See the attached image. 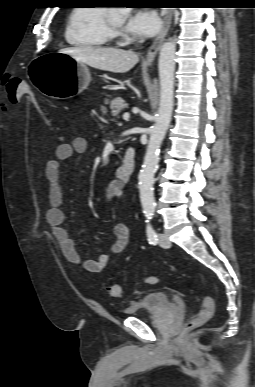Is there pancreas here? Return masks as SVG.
<instances>
[{"instance_id": "obj_1", "label": "pancreas", "mask_w": 255, "mask_h": 387, "mask_svg": "<svg viewBox=\"0 0 255 387\" xmlns=\"http://www.w3.org/2000/svg\"><path fill=\"white\" fill-rule=\"evenodd\" d=\"M110 103V109L112 116H118L120 112L127 107V104L121 97H116L111 102L108 99L105 100V104Z\"/></svg>"}]
</instances>
